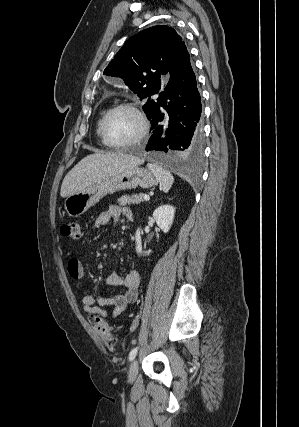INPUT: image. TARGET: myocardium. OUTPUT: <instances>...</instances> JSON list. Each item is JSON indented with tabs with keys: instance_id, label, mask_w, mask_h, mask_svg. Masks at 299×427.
<instances>
[{
	"instance_id": "f54148a6",
	"label": "myocardium",
	"mask_w": 299,
	"mask_h": 427,
	"mask_svg": "<svg viewBox=\"0 0 299 427\" xmlns=\"http://www.w3.org/2000/svg\"><path fill=\"white\" fill-rule=\"evenodd\" d=\"M118 110H128L132 112L139 121V131L137 135L132 140L126 143H121V144H115V143L109 142L106 136V124L109 118L111 117V115ZM147 132H148V121H147L146 115L136 104L130 103V102L119 103L113 106L112 108L108 109L105 115L103 116L99 126V135L102 143L105 146L113 149H126L131 146H134L146 136Z\"/></svg>"
}]
</instances>
